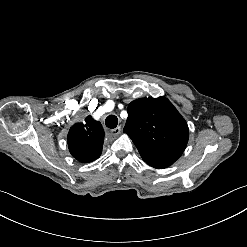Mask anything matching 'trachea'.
Returning <instances> with one entry per match:
<instances>
[{"label":"trachea","instance_id":"1","mask_svg":"<svg viewBox=\"0 0 247 247\" xmlns=\"http://www.w3.org/2000/svg\"><path fill=\"white\" fill-rule=\"evenodd\" d=\"M106 126L108 128H116L117 127V124H118V119L115 115H110L106 118Z\"/></svg>","mask_w":247,"mask_h":247}]
</instances>
